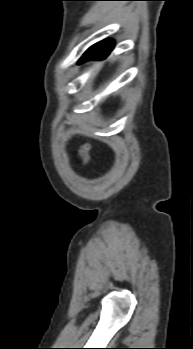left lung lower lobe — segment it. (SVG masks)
<instances>
[{
    "mask_svg": "<svg viewBox=\"0 0 193 349\" xmlns=\"http://www.w3.org/2000/svg\"><path fill=\"white\" fill-rule=\"evenodd\" d=\"M113 48L114 41L111 39L96 43L84 53L78 64H81L88 60L103 59L113 50Z\"/></svg>",
    "mask_w": 193,
    "mask_h": 349,
    "instance_id": "left-lung-lower-lobe-1",
    "label": "left lung lower lobe"
}]
</instances>
